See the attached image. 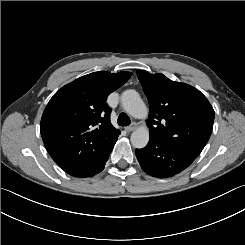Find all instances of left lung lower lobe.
<instances>
[{"label": "left lung lower lobe", "mask_w": 245, "mask_h": 245, "mask_svg": "<svg viewBox=\"0 0 245 245\" xmlns=\"http://www.w3.org/2000/svg\"><path fill=\"white\" fill-rule=\"evenodd\" d=\"M141 168L148 174L158 178L172 177L195 160L184 151L150 139L146 147L135 150Z\"/></svg>", "instance_id": "0a47b994"}]
</instances>
